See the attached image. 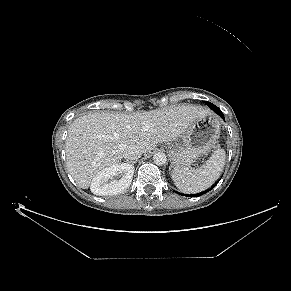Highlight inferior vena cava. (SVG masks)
Wrapping results in <instances>:
<instances>
[{
  "label": "inferior vena cava",
  "mask_w": 291,
  "mask_h": 291,
  "mask_svg": "<svg viewBox=\"0 0 291 291\" xmlns=\"http://www.w3.org/2000/svg\"><path fill=\"white\" fill-rule=\"evenodd\" d=\"M141 155V150L136 146H130L126 148L123 152L124 158L129 162L137 161L141 157Z\"/></svg>",
  "instance_id": "obj_1"
}]
</instances>
